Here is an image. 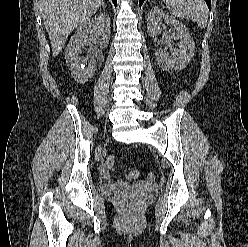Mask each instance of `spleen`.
<instances>
[{
  "label": "spleen",
  "mask_w": 248,
  "mask_h": 247,
  "mask_svg": "<svg viewBox=\"0 0 248 247\" xmlns=\"http://www.w3.org/2000/svg\"><path fill=\"white\" fill-rule=\"evenodd\" d=\"M170 13L183 19H191L204 29L208 20V9L204 0H163Z\"/></svg>",
  "instance_id": "obj_1"
}]
</instances>
